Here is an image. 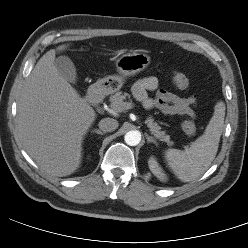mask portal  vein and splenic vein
<instances>
[{
    "label": "portal vein and splenic vein",
    "mask_w": 248,
    "mask_h": 248,
    "mask_svg": "<svg viewBox=\"0 0 248 248\" xmlns=\"http://www.w3.org/2000/svg\"><path fill=\"white\" fill-rule=\"evenodd\" d=\"M124 108L125 109H130V108H132V104L131 103H128V102H125L124 103Z\"/></svg>",
    "instance_id": "18ae733b"
}]
</instances>
